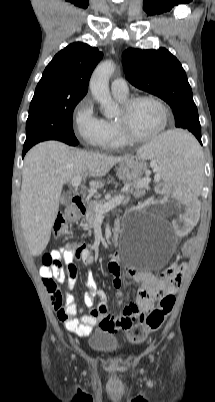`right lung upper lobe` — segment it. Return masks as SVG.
I'll return each instance as SVG.
<instances>
[{"label":"right lung upper lobe","instance_id":"right-lung-upper-lobe-1","mask_svg":"<svg viewBox=\"0 0 215 402\" xmlns=\"http://www.w3.org/2000/svg\"><path fill=\"white\" fill-rule=\"evenodd\" d=\"M102 56L97 48L85 43L68 45L48 64L34 95L82 99L88 91L92 71Z\"/></svg>","mask_w":215,"mask_h":402}]
</instances>
